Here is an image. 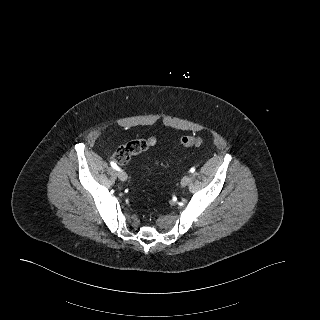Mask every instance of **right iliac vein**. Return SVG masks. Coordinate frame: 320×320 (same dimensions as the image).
<instances>
[{
  "instance_id": "1",
  "label": "right iliac vein",
  "mask_w": 320,
  "mask_h": 320,
  "mask_svg": "<svg viewBox=\"0 0 320 320\" xmlns=\"http://www.w3.org/2000/svg\"><path fill=\"white\" fill-rule=\"evenodd\" d=\"M117 175L121 181L127 180V174L123 170L118 171Z\"/></svg>"
}]
</instances>
